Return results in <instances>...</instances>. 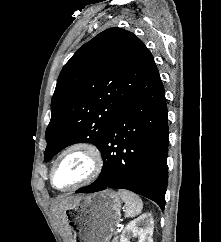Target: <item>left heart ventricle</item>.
Instances as JSON below:
<instances>
[{"label": "left heart ventricle", "mask_w": 221, "mask_h": 242, "mask_svg": "<svg viewBox=\"0 0 221 242\" xmlns=\"http://www.w3.org/2000/svg\"><path fill=\"white\" fill-rule=\"evenodd\" d=\"M91 169V161L84 151H71L57 164L54 171V184L67 188L86 177Z\"/></svg>", "instance_id": "left-heart-ventricle-1"}]
</instances>
